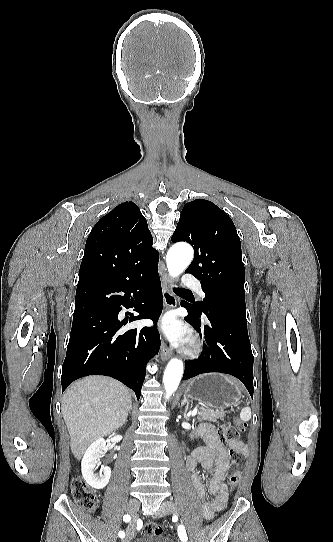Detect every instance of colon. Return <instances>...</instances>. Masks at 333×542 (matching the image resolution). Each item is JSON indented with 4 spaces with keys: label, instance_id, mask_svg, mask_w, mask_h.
Listing matches in <instances>:
<instances>
[{
    "label": "colon",
    "instance_id": "5ec220e1",
    "mask_svg": "<svg viewBox=\"0 0 333 542\" xmlns=\"http://www.w3.org/2000/svg\"><path fill=\"white\" fill-rule=\"evenodd\" d=\"M246 426L243 422H222L216 429V438L220 439V443H233L239 440L240 436L245 432ZM230 456L232 458V469L229 475V488L238 485L241 477L242 469L246 464V455L243 449H232ZM72 493L75 503L88 511H94L98 504L96 493L90 489L83 480L74 479L71 483ZM227 496L228 488L221 492ZM162 534V527L158 523L149 522L145 524L143 535L146 537H158Z\"/></svg>",
    "mask_w": 333,
    "mask_h": 542
}]
</instances>
